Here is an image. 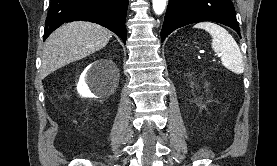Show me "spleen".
<instances>
[{
    "label": "spleen",
    "mask_w": 277,
    "mask_h": 166,
    "mask_svg": "<svg viewBox=\"0 0 277 166\" xmlns=\"http://www.w3.org/2000/svg\"><path fill=\"white\" fill-rule=\"evenodd\" d=\"M194 28L204 29L212 36V49L221 55V62L230 71L243 72V57L235 39L223 27L213 22H200Z\"/></svg>",
    "instance_id": "spleen-1"
}]
</instances>
